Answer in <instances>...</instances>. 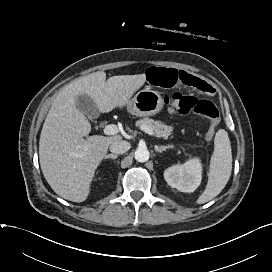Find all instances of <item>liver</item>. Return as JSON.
<instances>
[{"label":"liver","mask_w":272,"mask_h":272,"mask_svg":"<svg viewBox=\"0 0 272 272\" xmlns=\"http://www.w3.org/2000/svg\"><path fill=\"white\" fill-rule=\"evenodd\" d=\"M145 81V74L113 76L106 81V73L100 71L79 78L58 93L39 141L41 170L57 195L77 203L85 201L109 146L121 140L120 135L87 137L91 124L77 108V97L87 95L99 112L107 113L127 106Z\"/></svg>","instance_id":"liver-1"}]
</instances>
